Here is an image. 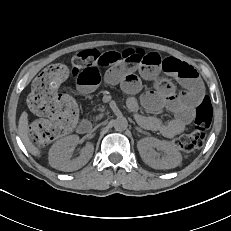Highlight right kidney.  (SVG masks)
Wrapping results in <instances>:
<instances>
[{
	"instance_id": "obj_1",
	"label": "right kidney",
	"mask_w": 231,
	"mask_h": 231,
	"mask_svg": "<svg viewBox=\"0 0 231 231\" xmlns=\"http://www.w3.org/2000/svg\"><path fill=\"white\" fill-rule=\"evenodd\" d=\"M79 136L70 135L56 141L49 150V164L55 169L71 172L83 167L92 157L94 146L86 144L79 157L71 159L74 146L77 145Z\"/></svg>"
}]
</instances>
